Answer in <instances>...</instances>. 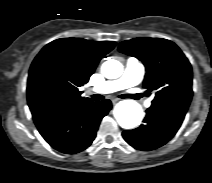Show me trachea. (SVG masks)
<instances>
[{
  "mask_svg": "<svg viewBox=\"0 0 212 183\" xmlns=\"http://www.w3.org/2000/svg\"><path fill=\"white\" fill-rule=\"evenodd\" d=\"M120 97L121 98H125V95H121ZM103 98L104 97L102 95H100V94H94V95H92V99L94 101H99V100H102Z\"/></svg>",
  "mask_w": 212,
  "mask_h": 183,
  "instance_id": "1",
  "label": "trachea"
}]
</instances>
